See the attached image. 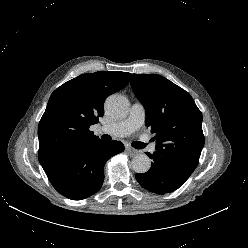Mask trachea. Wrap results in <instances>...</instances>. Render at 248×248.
I'll return each instance as SVG.
<instances>
[{"mask_svg": "<svg viewBox=\"0 0 248 248\" xmlns=\"http://www.w3.org/2000/svg\"><path fill=\"white\" fill-rule=\"evenodd\" d=\"M102 138L105 139V136H102ZM132 146L137 149H143L145 144L143 142H134Z\"/></svg>", "mask_w": 248, "mask_h": 248, "instance_id": "obj_1", "label": "trachea"}]
</instances>
